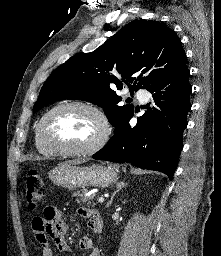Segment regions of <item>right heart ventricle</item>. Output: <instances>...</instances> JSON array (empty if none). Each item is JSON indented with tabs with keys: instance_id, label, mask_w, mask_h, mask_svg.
Masks as SVG:
<instances>
[{
	"instance_id": "obj_1",
	"label": "right heart ventricle",
	"mask_w": 221,
	"mask_h": 256,
	"mask_svg": "<svg viewBox=\"0 0 221 256\" xmlns=\"http://www.w3.org/2000/svg\"><path fill=\"white\" fill-rule=\"evenodd\" d=\"M34 141H35V146H36V149L38 150V152L42 155H45V156H54L56 153L53 152L52 150L46 148L39 140V137H38V124L35 128V133H34Z\"/></svg>"
}]
</instances>
